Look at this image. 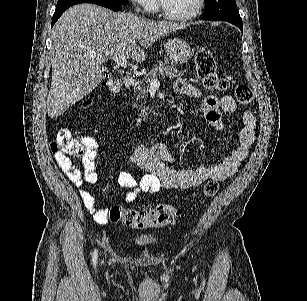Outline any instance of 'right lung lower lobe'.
I'll use <instances>...</instances> for the list:
<instances>
[{
  "label": "right lung lower lobe",
  "instance_id": "right-lung-lower-lobe-1",
  "mask_svg": "<svg viewBox=\"0 0 307 301\" xmlns=\"http://www.w3.org/2000/svg\"><path fill=\"white\" fill-rule=\"evenodd\" d=\"M79 3H93V4H97V5L109 8L113 11H120L122 9V6H121L122 4L117 2L116 0H80L78 2H73V3L57 6L55 9L53 18H52V26L55 24V22L63 14L65 10Z\"/></svg>",
  "mask_w": 307,
  "mask_h": 301
}]
</instances>
